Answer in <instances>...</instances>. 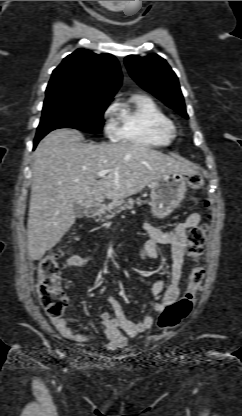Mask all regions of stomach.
I'll use <instances>...</instances> for the list:
<instances>
[{
	"mask_svg": "<svg viewBox=\"0 0 242 416\" xmlns=\"http://www.w3.org/2000/svg\"><path fill=\"white\" fill-rule=\"evenodd\" d=\"M187 177L180 172L159 175L150 183L151 212L155 217L169 215L184 199L187 191Z\"/></svg>",
	"mask_w": 242,
	"mask_h": 416,
	"instance_id": "obj_1",
	"label": "stomach"
}]
</instances>
